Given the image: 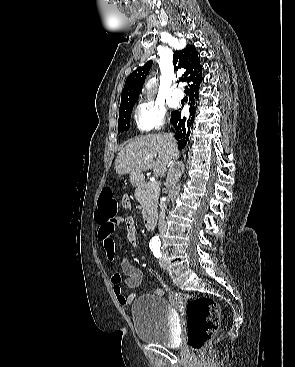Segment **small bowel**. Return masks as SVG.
Listing matches in <instances>:
<instances>
[{"mask_svg": "<svg viewBox=\"0 0 295 367\" xmlns=\"http://www.w3.org/2000/svg\"><path fill=\"white\" fill-rule=\"evenodd\" d=\"M122 206L125 209H129L131 207L130 198L127 195L122 199ZM121 223L125 224L127 236L132 245L138 246L137 226L133 217H116L109 222H98L99 229L97 237L103 246L106 258L109 262H113L115 259V243L112 235L116 227ZM120 268L125 277H123L121 273L115 272L111 276V283L118 303L122 307H126L131 305L137 297V293L134 290L141 285L143 281V272L126 258L121 259ZM122 284L133 291L130 294L125 295L123 293ZM155 294L161 295L162 290L156 289Z\"/></svg>", "mask_w": 295, "mask_h": 367, "instance_id": "obj_1", "label": "small bowel"}]
</instances>
